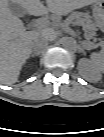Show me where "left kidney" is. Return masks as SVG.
Listing matches in <instances>:
<instances>
[{"instance_id":"left-kidney-1","label":"left kidney","mask_w":104,"mask_h":137,"mask_svg":"<svg viewBox=\"0 0 104 137\" xmlns=\"http://www.w3.org/2000/svg\"><path fill=\"white\" fill-rule=\"evenodd\" d=\"M78 65L82 74L90 79H99L103 72V64L95 65L85 58L80 59Z\"/></svg>"}]
</instances>
